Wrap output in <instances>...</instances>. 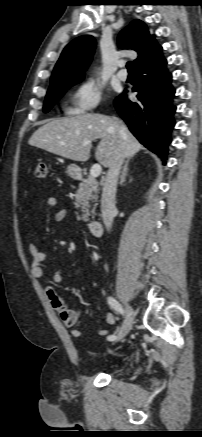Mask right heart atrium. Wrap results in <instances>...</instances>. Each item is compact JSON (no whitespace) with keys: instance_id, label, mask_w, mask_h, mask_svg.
<instances>
[{"instance_id":"obj_1","label":"right heart atrium","mask_w":202,"mask_h":437,"mask_svg":"<svg viewBox=\"0 0 202 437\" xmlns=\"http://www.w3.org/2000/svg\"><path fill=\"white\" fill-rule=\"evenodd\" d=\"M102 87L92 80L79 84L70 96L69 111L75 114L94 111L101 103Z\"/></svg>"}]
</instances>
